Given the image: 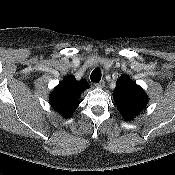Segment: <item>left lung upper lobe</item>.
<instances>
[{
	"label": "left lung upper lobe",
	"instance_id": "obj_1",
	"mask_svg": "<svg viewBox=\"0 0 175 175\" xmlns=\"http://www.w3.org/2000/svg\"><path fill=\"white\" fill-rule=\"evenodd\" d=\"M113 95L122 117L127 121L133 120L148 103L147 94L127 75L118 79Z\"/></svg>",
	"mask_w": 175,
	"mask_h": 175
}]
</instances>
